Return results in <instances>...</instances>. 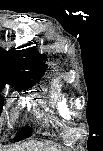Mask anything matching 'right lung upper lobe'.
<instances>
[{"mask_svg": "<svg viewBox=\"0 0 103 151\" xmlns=\"http://www.w3.org/2000/svg\"><path fill=\"white\" fill-rule=\"evenodd\" d=\"M43 61H46V56L32 48H12L9 51L0 49V80L11 83L15 88L23 87L43 75L46 68Z\"/></svg>", "mask_w": 103, "mask_h": 151, "instance_id": "obj_1", "label": "right lung upper lobe"}]
</instances>
